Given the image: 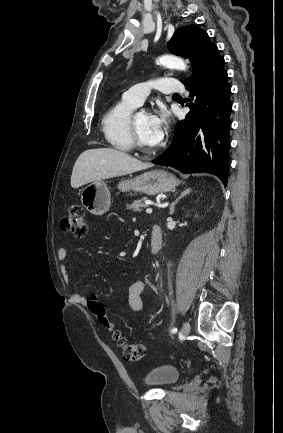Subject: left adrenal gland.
Instances as JSON below:
<instances>
[{
  "label": "left adrenal gland",
  "instance_id": "1",
  "mask_svg": "<svg viewBox=\"0 0 283 433\" xmlns=\"http://www.w3.org/2000/svg\"><path fill=\"white\" fill-rule=\"evenodd\" d=\"M189 192H191V188H185V190H182L180 196H177L176 200H174V202H171L169 214H173V212L175 210L174 204H176V202H178V200H180V198H182V196H186V194H189Z\"/></svg>",
  "mask_w": 283,
  "mask_h": 433
}]
</instances>
